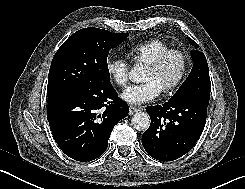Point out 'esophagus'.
I'll return each mask as SVG.
<instances>
[{"label":"esophagus","mask_w":245,"mask_h":189,"mask_svg":"<svg viewBox=\"0 0 245 189\" xmlns=\"http://www.w3.org/2000/svg\"><path fill=\"white\" fill-rule=\"evenodd\" d=\"M137 111H139V108L135 107V106H129V115H133L134 113H136Z\"/></svg>","instance_id":"obj_1"}]
</instances>
